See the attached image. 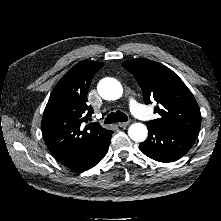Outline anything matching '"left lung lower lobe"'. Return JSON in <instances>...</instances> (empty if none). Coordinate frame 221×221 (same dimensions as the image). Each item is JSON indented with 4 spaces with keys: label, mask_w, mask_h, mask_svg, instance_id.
<instances>
[{
    "label": "left lung lower lobe",
    "mask_w": 221,
    "mask_h": 221,
    "mask_svg": "<svg viewBox=\"0 0 221 221\" xmlns=\"http://www.w3.org/2000/svg\"><path fill=\"white\" fill-rule=\"evenodd\" d=\"M148 138L140 143V150L159 162H173L185 155L195 142L197 133L172 131L147 123Z\"/></svg>",
    "instance_id": "obj_1"
}]
</instances>
